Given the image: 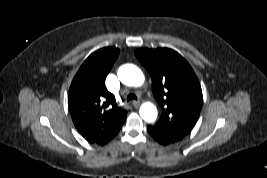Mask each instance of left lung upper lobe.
<instances>
[{
    "label": "left lung upper lobe",
    "instance_id": "5c2ea615",
    "mask_svg": "<svg viewBox=\"0 0 267 178\" xmlns=\"http://www.w3.org/2000/svg\"><path fill=\"white\" fill-rule=\"evenodd\" d=\"M135 55L150 73L153 95L162 108L160 119L150 127L172 143L183 139L195 126L202 108L196 74L172 49L141 48Z\"/></svg>",
    "mask_w": 267,
    "mask_h": 178
}]
</instances>
